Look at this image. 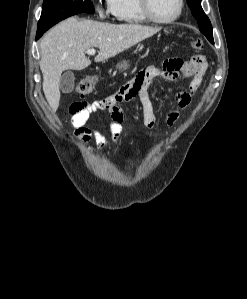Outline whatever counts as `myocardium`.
<instances>
[{"label":"myocardium","instance_id":"1","mask_svg":"<svg viewBox=\"0 0 247 299\" xmlns=\"http://www.w3.org/2000/svg\"><path fill=\"white\" fill-rule=\"evenodd\" d=\"M140 1V7L141 10L143 12V14L145 15V17L157 24H170L176 20H178L183 12V7H184V0H178V10L177 13L168 19H160L157 18L152 10H151V5H150V0H139Z\"/></svg>","mask_w":247,"mask_h":299}]
</instances>
